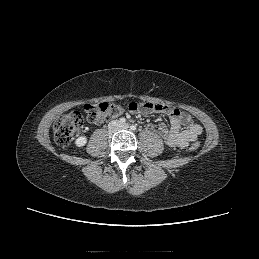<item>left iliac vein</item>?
<instances>
[{
  "mask_svg": "<svg viewBox=\"0 0 259 259\" xmlns=\"http://www.w3.org/2000/svg\"><path fill=\"white\" fill-rule=\"evenodd\" d=\"M121 129H128L129 128V124L128 123H125V124H122L120 126Z\"/></svg>",
  "mask_w": 259,
  "mask_h": 259,
  "instance_id": "obj_1",
  "label": "left iliac vein"
}]
</instances>
